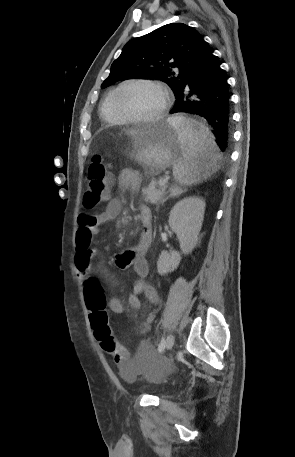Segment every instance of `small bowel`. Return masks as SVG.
Returning <instances> with one entry per match:
<instances>
[{"label":"small bowel","mask_w":295,"mask_h":457,"mask_svg":"<svg viewBox=\"0 0 295 457\" xmlns=\"http://www.w3.org/2000/svg\"><path fill=\"white\" fill-rule=\"evenodd\" d=\"M140 185L141 180L137 172L130 169H124L120 172L118 186L121 190L136 192L139 190ZM121 210V201L118 199H111L107 203L105 210L99 215L82 213L78 216L77 222L79 228L76 235L77 256L75 259V270L77 277L84 283V286L87 280L94 278L92 273V260L97 251L91 245L92 238L99 233L101 224L116 220L120 215ZM138 210L139 220L142 225L139 241L135 246L117 254L115 257V264L120 269L131 267L137 277L128 298L129 307L132 309L139 308L141 305V295H145L153 307L145 322L139 327V330L144 332L148 330L155 318L157 306L159 304V296L156 290L145 280V277L148 274V263L145 256L152 243L151 212L145 205L139 206ZM107 304L109 309L116 314H122L125 311L123 303L116 297L110 298ZM121 347L126 351L122 345ZM125 361L126 360H121L118 364L120 365Z\"/></svg>","instance_id":"c3829d8e"}]
</instances>
